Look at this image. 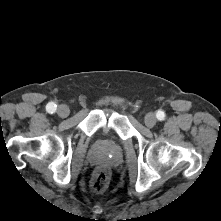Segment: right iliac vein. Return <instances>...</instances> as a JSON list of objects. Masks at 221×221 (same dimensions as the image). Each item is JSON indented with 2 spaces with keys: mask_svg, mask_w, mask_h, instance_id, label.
Listing matches in <instances>:
<instances>
[{
  "mask_svg": "<svg viewBox=\"0 0 221 221\" xmlns=\"http://www.w3.org/2000/svg\"><path fill=\"white\" fill-rule=\"evenodd\" d=\"M57 113H58L59 117L66 118L69 115L70 110H69L68 106L60 105L57 109Z\"/></svg>",
  "mask_w": 221,
  "mask_h": 221,
  "instance_id": "obj_1",
  "label": "right iliac vein"
}]
</instances>
